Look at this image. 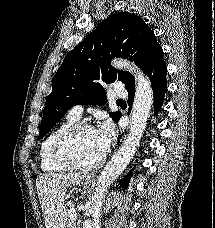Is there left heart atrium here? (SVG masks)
<instances>
[{"label": "left heart atrium", "mask_w": 215, "mask_h": 228, "mask_svg": "<svg viewBox=\"0 0 215 228\" xmlns=\"http://www.w3.org/2000/svg\"><path fill=\"white\" fill-rule=\"evenodd\" d=\"M96 139L100 149L105 152L115 138V128L110 119H105L103 123L95 130Z\"/></svg>", "instance_id": "obj_1"}]
</instances>
